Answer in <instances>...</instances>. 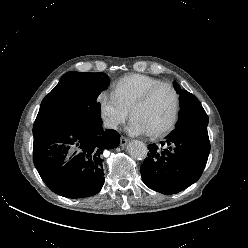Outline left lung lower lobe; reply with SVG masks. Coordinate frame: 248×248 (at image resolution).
Masks as SVG:
<instances>
[{"mask_svg":"<svg viewBox=\"0 0 248 248\" xmlns=\"http://www.w3.org/2000/svg\"><path fill=\"white\" fill-rule=\"evenodd\" d=\"M149 153L141 166L143 182L150 189L178 193L201 176L207 163L210 142L207 125L176 127L160 146H148Z\"/></svg>","mask_w":248,"mask_h":248,"instance_id":"obj_1","label":"left lung lower lobe"}]
</instances>
